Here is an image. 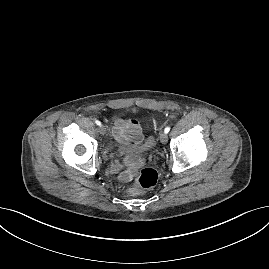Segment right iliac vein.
I'll use <instances>...</instances> for the list:
<instances>
[{
  "mask_svg": "<svg viewBox=\"0 0 269 269\" xmlns=\"http://www.w3.org/2000/svg\"><path fill=\"white\" fill-rule=\"evenodd\" d=\"M99 132L100 134L104 135L106 133V128L103 125H100Z\"/></svg>",
  "mask_w": 269,
  "mask_h": 269,
  "instance_id": "right-iliac-vein-1",
  "label": "right iliac vein"
}]
</instances>
